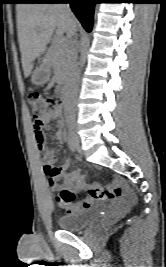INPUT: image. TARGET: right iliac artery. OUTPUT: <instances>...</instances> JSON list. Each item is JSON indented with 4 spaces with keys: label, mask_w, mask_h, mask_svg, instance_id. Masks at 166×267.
Masks as SVG:
<instances>
[{
    "label": "right iliac artery",
    "mask_w": 166,
    "mask_h": 267,
    "mask_svg": "<svg viewBox=\"0 0 166 267\" xmlns=\"http://www.w3.org/2000/svg\"><path fill=\"white\" fill-rule=\"evenodd\" d=\"M68 145H69V148L72 152H74L76 150V143L74 142V140L70 134L68 136Z\"/></svg>",
    "instance_id": "obj_1"
}]
</instances>
